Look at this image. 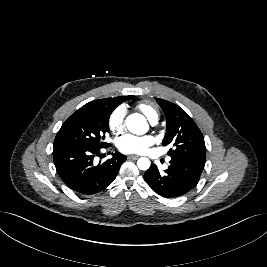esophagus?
Returning a JSON list of instances; mask_svg holds the SVG:
<instances>
[{
    "mask_svg": "<svg viewBox=\"0 0 267 267\" xmlns=\"http://www.w3.org/2000/svg\"><path fill=\"white\" fill-rule=\"evenodd\" d=\"M138 158H139L138 155H129V156H128V159H129V160H137Z\"/></svg>",
    "mask_w": 267,
    "mask_h": 267,
    "instance_id": "34e87169",
    "label": "esophagus"
}]
</instances>
